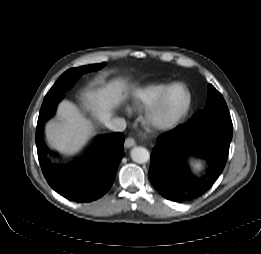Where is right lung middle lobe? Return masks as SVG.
Segmentation results:
<instances>
[{
  "label": "right lung middle lobe",
  "mask_w": 261,
  "mask_h": 254,
  "mask_svg": "<svg viewBox=\"0 0 261 254\" xmlns=\"http://www.w3.org/2000/svg\"><path fill=\"white\" fill-rule=\"evenodd\" d=\"M104 66L105 63H101L67 70L64 74H62L59 77L57 82L49 90V92L45 96V99L63 94L65 91L72 87V85L75 83L79 76L89 71L99 70Z\"/></svg>",
  "instance_id": "obj_1"
}]
</instances>
